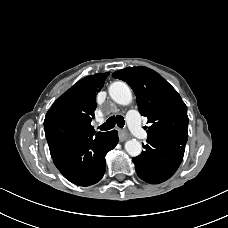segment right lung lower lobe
I'll list each match as a JSON object with an SVG mask.
<instances>
[{"mask_svg": "<svg viewBox=\"0 0 228 228\" xmlns=\"http://www.w3.org/2000/svg\"><path fill=\"white\" fill-rule=\"evenodd\" d=\"M117 143L116 130L84 132L49 149L54 164L66 179L79 186H89L103 177L105 156Z\"/></svg>", "mask_w": 228, "mask_h": 228, "instance_id": "98d812e1", "label": "right lung lower lobe"}]
</instances>
